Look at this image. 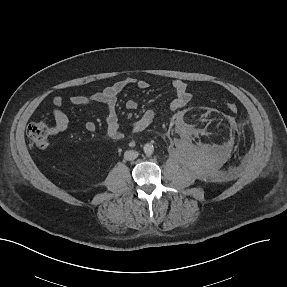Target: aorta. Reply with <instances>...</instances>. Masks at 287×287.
<instances>
[{
  "mask_svg": "<svg viewBox=\"0 0 287 287\" xmlns=\"http://www.w3.org/2000/svg\"><path fill=\"white\" fill-rule=\"evenodd\" d=\"M143 151L147 156H150L154 151V146L151 143H147L144 145Z\"/></svg>",
  "mask_w": 287,
  "mask_h": 287,
  "instance_id": "aorta-1",
  "label": "aorta"
}]
</instances>
